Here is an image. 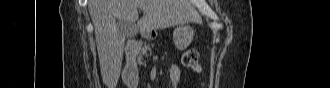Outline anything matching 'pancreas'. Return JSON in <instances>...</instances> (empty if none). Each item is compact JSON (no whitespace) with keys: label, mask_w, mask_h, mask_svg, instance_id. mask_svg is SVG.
Segmentation results:
<instances>
[{"label":"pancreas","mask_w":330,"mask_h":88,"mask_svg":"<svg viewBox=\"0 0 330 88\" xmlns=\"http://www.w3.org/2000/svg\"><path fill=\"white\" fill-rule=\"evenodd\" d=\"M147 49H148V51H151V49L149 47Z\"/></svg>","instance_id":"pancreas-1"}]
</instances>
